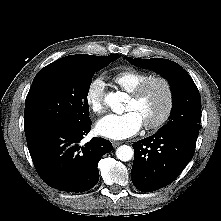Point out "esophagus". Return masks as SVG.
<instances>
[{
	"label": "esophagus",
	"mask_w": 221,
	"mask_h": 221,
	"mask_svg": "<svg viewBox=\"0 0 221 221\" xmlns=\"http://www.w3.org/2000/svg\"><path fill=\"white\" fill-rule=\"evenodd\" d=\"M112 144H113V147L116 148V147H118L119 145H121L122 142H121V141H113Z\"/></svg>",
	"instance_id": "obj_1"
}]
</instances>
